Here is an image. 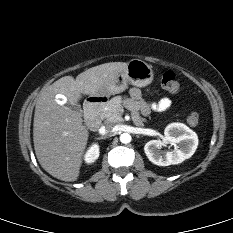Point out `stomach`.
<instances>
[{
    "mask_svg": "<svg viewBox=\"0 0 233 233\" xmlns=\"http://www.w3.org/2000/svg\"><path fill=\"white\" fill-rule=\"evenodd\" d=\"M152 66L140 59H132L127 63L126 69L120 73L113 83L97 95L110 96L123 92L128 84L145 87L153 80Z\"/></svg>",
    "mask_w": 233,
    "mask_h": 233,
    "instance_id": "0dacf381",
    "label": "stomach"
}]
</instances>
